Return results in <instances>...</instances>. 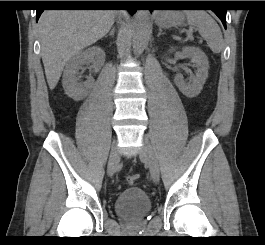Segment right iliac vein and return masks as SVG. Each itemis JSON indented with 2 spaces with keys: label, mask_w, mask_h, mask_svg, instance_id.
Here are the masks:
<instances>
[{
  "label": "right iliac vein",
  "mask_w": 265,
  "mask_h": 245,
  "mask_svg": "<svg viewBox=\"0 0 265 245\" xmlns=\"http://www.w3.org/2000/svg\"><path fill=\"white\" fill-rule=\"evenodd\" d=\"M118 160H119L118 148L116 143H114L111 148L109 161H108V174L110 176H112L115 173L118 165Z\"/></svg>",
  "instance_id": "63e3f726"
}]
</instances>
